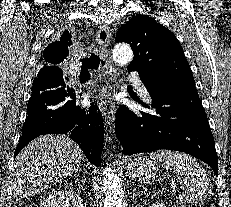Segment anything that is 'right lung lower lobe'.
Returning a JSON list of instances; mask_svg holds the SVG:
<instances>
[{"mask_svg":"<svg viewBox=\"0 0 231 207\" xmlns=\"http://www.w3.org/2000/svg\"><path fill=\"white\" fill-rule=\"evenodd\" d=\"M62 36L71 38L68 32ZM28 116L14 157L30 141L44 134H67L79 144L87 159L99 167L104 125L96 104L82 109L76 104L75 90L66 87L59 67H44L33 81L27 104Z\"/></svg>","mask_w":231,"mask_h":207,"instance_id":"obj_1","label":"right lung lower lobe"}]
</instances>
